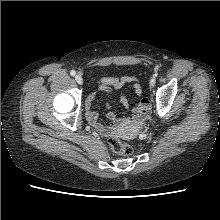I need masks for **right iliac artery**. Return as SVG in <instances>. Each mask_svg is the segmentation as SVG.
Masks as SVG:
<instances>
[{"instance_id":"82829eb1","label":"right iliac artery","mask_w":220,"mask_h":220,"mask_svg":"<svg viewBox=\"0 0 220 220\" xmlns=\"http://www.w3.org/2000/svg\"><path fill=\"white\" fill-rule=\"evenodd\" d=\"M70 74H71L72 76H74V75L76 74V72H75L74 70H71V71H70Z\"/></svg>"}]
</instances>
